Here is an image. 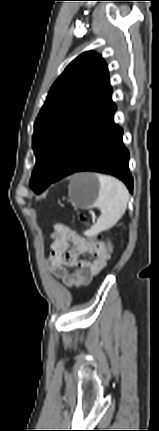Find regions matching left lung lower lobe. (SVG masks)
<instances>
[{
	"instance_id": "obj_1",
	"label": "left lung lower lobe",
	"mask_w": 159,
	"mask_h": 431,
	"mask_svg": "<svg viewBox=\"0 0 159 431\" xmlns=\"http://www.w3.org/2000/svg\"><path fill=\"white\" fill-rule=\"evenodd\" d=\"M115 110L116 106L112 103L105 112L77 133L51 183L75 172L94 171L121 179L132 192L129 151L122 141L123 130L114 123Z\"/></svg>"
}]
</instances>
